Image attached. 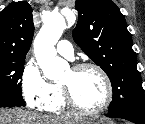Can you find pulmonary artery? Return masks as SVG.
<instances>
[{
  "label": "pulmonary artery",
  "instance_id": "1",
  "mask_svg": "<svg viewBox=\"0 0 145 124\" xmlns=\"http://www.w3.org/2000/svg\"><path fill=\"white\" fill-rule=\"evenodd\" d=\"M59 55L72 59L74 55V49L72 44L67 40H61L56 46Z\"/></svg>",
  "mask_w": 145,
  "mask_h": 124
}]
</instances>
